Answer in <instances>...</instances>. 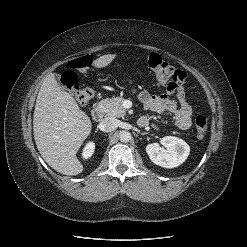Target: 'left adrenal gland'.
<instances>
[{"label":"left adrenal gland","mask_w":247,"mask_h":247,"mask_svg":"<svg viewBox=\"0 0 247 247\" xmlns=\"http://www.w3.org/2000/svg\"><path fill=\"white\" fill-rule=\"evenodd\" d=\"M145 134H147V133H142V135H145Z\"/></svg>","instance_id":"a2214340"}]
</instances>
